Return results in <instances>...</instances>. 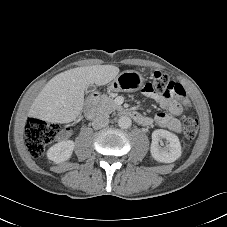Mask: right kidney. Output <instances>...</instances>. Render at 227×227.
Here are the masks:
<instances>
[{
    "instance_id": "right-kidney-1",
    "label": "right kidney",
    "mask_w": 227,
    "mask_h": 227,
    "mask_svg": "<svg viewBox=\"0 0 227 227\" xmlns=\"http://www.w3.org/2000/svg\"><path fill=\"white\" fill-rule=\"evenodd\" d=\"M75 143L72 140L61 141L47 151V157L54 163H61L67 161L74 150Z\"/></svg>"
}]
</instances>
